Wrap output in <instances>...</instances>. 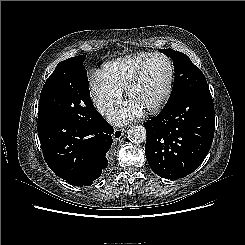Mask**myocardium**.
Masks as SVG:
<instances>
[{"mask_svg": "<svg viewBox=\"0 0 245 245\" xmlns=\"http://www.w3.org/2000/svg\"><path fill=\"white\" fill-rule=\"evenodd\" d=\"M155 57H160V58H163L164 60H166V62L168 64L169 73H168L167 83H166V86H165V89H164L162 95L159 97V99L155 103L151 104L150 106H148L144 109L147 113H155V112L159 111L165 105V103L167 102V100H168V98L172 92L173 83H174V65H173L172 60L167 55L160 53V52L150 53L148 55V57L141 63V65L139 66V68L137 69V71L135 72V74L133 75V77L128 82V84L125 88L126 98H129L131 91L141 81L148 62L152 58H155Z\"/></svg>", "mask_w": 245, "mask_h": 245, "instance_id": "obj_1", "label": "myocardium"}]
</instances>
